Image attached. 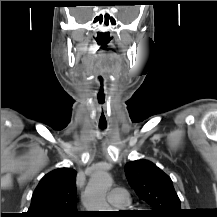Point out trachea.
I'll return each mask as SVG.
<instances>
[{"instance_id":"1","label":"trachea","mask_w":217,"mask_h":217,"mask_svg":"<svg viewBox=\"0 0 217 217\" xmlns=\"http://www.w3.org/2000/svg\"><path fill=\"white\" fill-rule=\"evenodd\" d=\"M101 129H105V127H100Z\"/></svg>"}]
</instances>
